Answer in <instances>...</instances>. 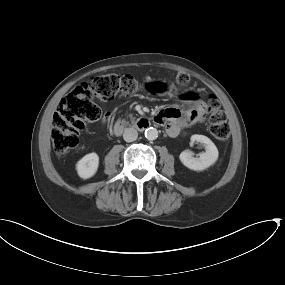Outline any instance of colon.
I'll return each mask as SVG.
<instances>
[{
    "label": "colon",
    "mask_w": 285,
    "mask_h": 285,
    "mask_svg": "<svg viewBox=\"0 0 285 285\" xmlns=\"http://www.w3.org/2000/svg\"><path fill=\"white\" fill-rule=\"evenodd\" d=\"M187 73H178L176 82L179 86L189 83ZM136 79L129 74H107L92 78L90 81L74 87L62 99L53 118L51 137L57 155H65L79 144L80 132L86 121H94L100 115L97 101L111 99L118 94L131 95L138 91ZM209 114V131L220 142L226 141L230 134L229 123L220 101L210 97L205 105ZM192 121L193 116L189 117ZM156 124L162 125L165 119L161 115L154 117Z\"/></svg>",
    "instance_id": "obj_1"
}]
</instances>
